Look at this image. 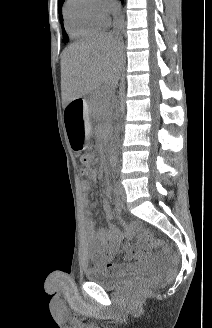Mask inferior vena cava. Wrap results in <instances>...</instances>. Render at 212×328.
<instances>
[{"instance_id":"602c4592","label":"inferior vena cava","mask_w":212,"mask_h":328,"mask_svg":"<svg viewBox=\"0 0 212 328\" xmlns=\"http://www.w3.org/2000/svg\"><path fill=\"white\" fill-rule=\"evenodd\" d=\"M112 15L114 17V28H115V34H119L120 26L122 25V15L119 5H112L111 8Z\"/></svg>"}]
</instances>
